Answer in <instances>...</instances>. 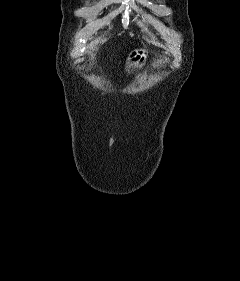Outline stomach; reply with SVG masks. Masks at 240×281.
Wrapping results in <instances>:
<instances>
[{
    "mask_svg": "<svg viewBox=\"0 0 240 281\" xmlns=\"http://www.w3.org/2000/svg\"><path fill=\"white\" fill-rule=\"evenodd\" d=\"M149 51L146 48H136L132 50L125 63V71L127 74H135L142 70L148 61Z\"/></svg>",
    "mask_w": 240,
    "mask_h": 281,
    "instance_id": "1",
    "label": "stomach"
}]
</instances>
